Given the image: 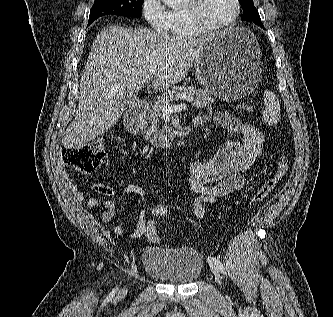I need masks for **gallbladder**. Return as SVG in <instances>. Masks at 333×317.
Wrapping results in <instances>:
<instances>
[{
    "instance_id": "gallbladder-1",
    "label": "gallbladder",
    "mask_w": 333,
    "mask_h": 317,
    "mask_svg": "<svg viewBox=\"0 0 333 317\" xmlns=\"http://www.w3.org/2000/svg\"><path fill=\"white\" fill-rule=\"evenodd\" d=\"M138 101L139 99L136 96H124L121 99V102L126 109L135 108Z\"/></svg>"
}]
</instances>
